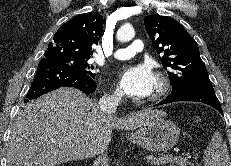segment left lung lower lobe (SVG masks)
<instances>
[{
	"instance_id": "left-lung-lower-lobe-1",
	"label": "left lung lower lobe",
	"mask_w": 231,
	"mask_h": 166,
	"mask_svg": "<svg viewBox=\"0 0 231 166\" xmlns=\"http://www.w3.org/2000/svg\"><path fill=\"white\" fill-rule=\"evenodd\" d=\"M176 101H195L208 104L217 109L222 115L223 111L212 86L190 85L183 87L170 94L165 100L157 105L172 103Z\"/></svg>"
}]
</instances>
